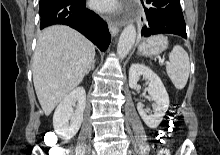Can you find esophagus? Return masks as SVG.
Listing matches in <instances>:
<instances>
[{
  "label": "esophagus",
  "instance_id": "34e87169",
  "mask_svg": "<svg viewBox=\"0 0 220 155\" xmlns=\"http://www.w3.org/2000/svg\"><path fill=\"white\" fill-rule=\"evenodd\" d=\"M123 21H110L109 22V30L112 36L117 35L120 28L123 26Z\"/></svg>",
  "mask_w": 220,
  "mask_h": 155
}]
</instances>
